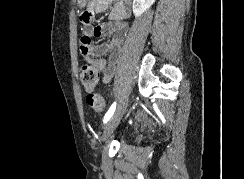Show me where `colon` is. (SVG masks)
<instances>
[{"label":"colon","mask_w":244,"mask_h":179,"mask_svg":"<svg viewBox=\"0 0 244 179\" xmlns=\"http://www.w3.org/2000/svg\"><path fill=\"white\" fill-rule=\"evenodd\" d=\"M80 80L83 88L88 93L86 97L88 108L95 113L103 112L105 109V99L101 94L96 92L98 84L97 70L90 64H83L80 69Z\"/></svg>","instance_id":"colon-1"}]
</instances>
